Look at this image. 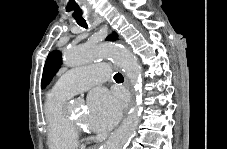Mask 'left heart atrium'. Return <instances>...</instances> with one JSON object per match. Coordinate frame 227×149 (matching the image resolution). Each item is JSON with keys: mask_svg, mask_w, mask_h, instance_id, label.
Listing matches in <instances>:
<instances>
[{"mask_svg": "<svg viewBox=\"0 0 227 149\" xmlns=\"http://www.w3.org/2000/svg\"><path fill=\"white\" fill-rule=\"evenodd\" d=\"M123 106L122 96L105 89L95 90L90 96V127L98 132L112 128L118 121Z\"/></svg>", "mask_w": 227, "mask_h": 149, "instance_id": "obj_1", "label": "left heart atrium"}]
</instances>
